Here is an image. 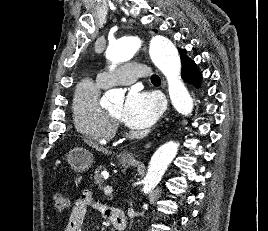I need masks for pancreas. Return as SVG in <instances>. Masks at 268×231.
Here are the masks:
<instances>
[{
	"label": "pancreas",
	"instance_id": "pancreas-1",
	"mask_svg": "<svg viewBox=\"0 0 268 231\" xmlns=\"http://www.w3.org/2000/svg\"><path fill=\"white\" fill-rule=\"evenodd\" d=\"M104 170V167L100 166L95 170L94 180L95 184L99 186L100 189H103L102 184L104 183V180L102 178V175L100 174L101 171Z\"/></svg>",
	"mask_w": 268,
	"mask_h": 231
}]
</instances>
